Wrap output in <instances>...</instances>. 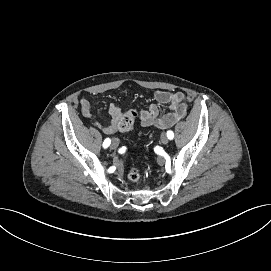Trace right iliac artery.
Returning a JSON list of instances; mask_svg holds the SVG:
<instances>
[{
	"mask_svg": "<svg viewBox=\"0 0 271 271\" xmlns=\"http://www.w3.org/2000/svg\"><path fill=\"white\" fill-rule=\"evenodd\" d=\"M111 143V140L109 138L105 139L104 142H103V147L104 148H107Z\"/></svg>",
	"mask_w": 271,
	"mask_h": 271,
	"instance_id": "1",
	"label": "right iliac artery"
}]
</instances>
